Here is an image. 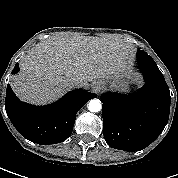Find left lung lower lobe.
Returning <instances> with one entry per match:
<instances>
[{"label": "left lung lower lobe", "instance_id": "left-lung-lower-lobe-1", "mask_svg": "<svg viewBox=\"0 0 178 178\" xmlns=\"http://www.w3.org/2000/svg\"><path fill=\"white\" fill-rule=\"evenodd\" d=\"M145 85L131 96L102 94L103 131L109 146L128 152L150 145L165 128L170 90L157 64L146 52L137 54Z\"/></svg>", "mask_w": 178, "mask_h": 178}]
</instances>
